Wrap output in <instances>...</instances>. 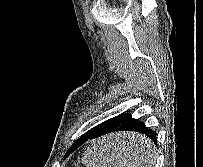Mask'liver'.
Returning <instances> with one entry per match:
<instances>
[{"label": "liver", "instance_id": "liver-1", "mask_svg": "<svg viewBox=\"0 0 203 167\" xmlns=\"http://www.w3.org/2000/svg\"><path fill=\"white\" fill-rule=\"evenodd\" d=\"M132 136H135V134H129V133H119L116 135H111L112 138H115L116 142H128V143H132L129 140L132 138ZM119 153H121V158H123L124 160H128L131 163H134L133 165L136 167H139V165L143 164L141 162H135V155H136V151L134 150H126V149H120L118 150Z\"/></svg>", "mask_w": 203, "mask_h": 167}]
</instances>
